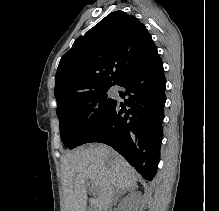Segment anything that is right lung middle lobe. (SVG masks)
<instances>
[{"instance_id": "dd1d6c3e", "label": "right lung middle lobe", "mask_w": 219, "mask_h": 211, "mask_svg": "<svg viewBox=\"0 0 219 211\" xmlns=\"http://www.w3.org/2000/svg\"><path fill=\"white\" fill-rule=\"evenodd\" d=\"M109 88L97 90L58 104L60 136L67 148L81 143L85 134L101 122L112 109L115 100L108 98Z\"/></svg>"}]
</instances>
